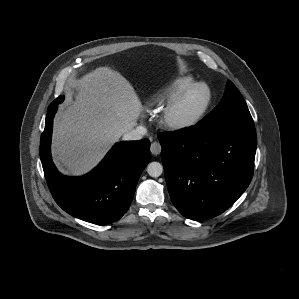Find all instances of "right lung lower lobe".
I'll return each mask as SVG.
<instances>
[{"label": "right lung lower lobe", "instance_id": "1", "mask_svg": "<svg viewBox=\"0 0 299 299\" xmlns=\"http://www.w3.org/2000/svg\"><path fill=\"white\" fill-rule=\"evenodd\" d=\"M58 104L54 100L48 107L40 141V158L54 200L70 215L94 224L119 220L128 210L138 179L151 160L150 141L119 142L87 175L63 176L52 162L50 149Z\"/></svg>", "mask_w": 299, "mask_h": 299}]
</instances>
